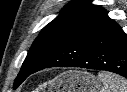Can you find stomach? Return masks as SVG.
Returning a JSON list of instances; mask_svg holds the SVG:
<instances>
[{"label":"stomach","mask_w":127,"mask_h":92,"mask_svg":"<svg viewBox=\"0 0 127 92\" xmlns=\"http://www.w3.org/2000/svg\"><path fill=\"white\" fill-rule=\"evenodd\" d=\"M55 92H97L101 82L91 73L80 70H68L52 81Z\"/></svg>","instance_id":"0dacf381"}]
</instances>
